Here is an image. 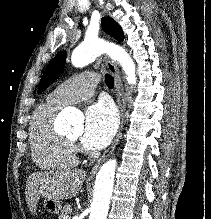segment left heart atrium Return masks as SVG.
I'll return each mask as SVG.
<instances>
[{"label":"left heart atrium","mask_w":211,"mask_h":219,"mask_svg":"<svg viewBox=\"0 0 211 219\" xmlns=\"http://www.w3.org/2000/svg\"><path fill=\"white\" fill-rule=\"evenodd\" d=\"M118 119L113 106L105 101L91 105L85 115L81 142L87 149H101L113 138Z\"/></svg>","instance_id":"39dd6f15"}]
</instances>
